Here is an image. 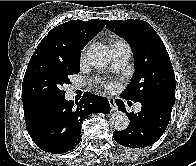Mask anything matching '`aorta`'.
I'll return each instance as SVG.
<instances>
[{
    "mask_svg": "<svg viewBox=\"0 0 196 166\" xmlns=\"http://www.w3.org/2000/svg\"><path fill=\"white\" fill-rule=\"evenodd\" d=\"M87 57L92 66L103 68L110 63L111 52L104 45H94L88 50ZM110 122L112 127L117 131H123L129 125V119L122 111L112 113Z\"/></svg>",
    "mask_w": 196,
    "mask_h": 166,
    "instance_id": "aorta-1",
    "label": "aorta"
}]
</instances>
